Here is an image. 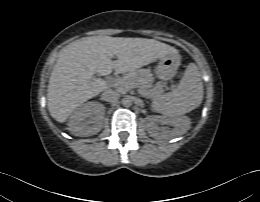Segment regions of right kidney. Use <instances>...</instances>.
Segmentation results:
<instances>
[{
  "instance_id": "obj_1",
  "label": "right kidney",
  "mask_w": 260,
  "mask_h": 202,
  "mask_svg": "<svg viewBox=\"0 0 260 202\" xmlns=\"http://www.w3.org/2000/svg\"><path fill=\"white\" fill-rule=\"evenodd\" d=\"M105 107L98 102H87L79 106L70 116L68 130L75 136L88 137L102 128Z\"/></svg>"
}]
</instances>
